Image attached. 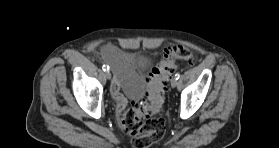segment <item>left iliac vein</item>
Segmentation results:
<instances>
[{"instance_id":"1","label":"left iliac vein","mask_w":279,"mask_h":148,"mask_svg":"<svg viewBox=\"0 0 279 148\" xmlns=\"http://www.w3.org/2000/svg\"><path fill=\"white\" fill-rule=\"evenodd\" d=\"M170 84H171V87H172V88H175V87L177 86V80H176L175 78H172Z\"/></svg>"}]
</instances>
